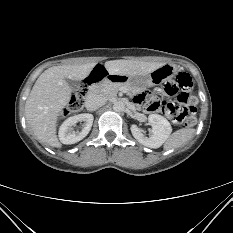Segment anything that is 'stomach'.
I'll return each instance as SVG.
<instances>
[{"mask_svg":"<svg viewBox=\"0 0 233 233\" xmlns=\"http://www.w3.org/2000/svg\"><path fill=\"white\" fill-rule=\"evenodd\" d=\"M178 71V68L173 64H164L158 69L144 77H133L128 75L112 74L115 82L126 84L133 90H140L151 85L163 84L164 81L172 79Z\"/></svg>","mask_w":233,"mask_h":233,"instance_id":"obj_1","label":"stomach"}]
</instances>
